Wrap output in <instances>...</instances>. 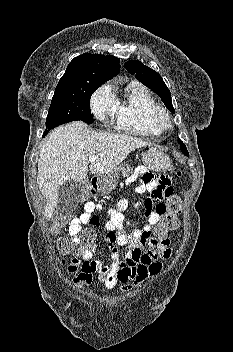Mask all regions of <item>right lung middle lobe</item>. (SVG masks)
Segmentation results:
<instances>
[{"instance_id": "1", "label": "right lung middle lobe", "mask_w": 233, "mask_h": 352, "mask_svg": "<svg viewBox=\"0 0 233 352\" xmlns=\"http://www.w3.org/2000/svg\"><path fill=\"white\" fill-rule=\"evenodd\" d=\"M99 86L88 85L72 92H55L46 120V130L81 120L91 124L93 117L90 111V97Z\"/></svg>"}]
</instances>
